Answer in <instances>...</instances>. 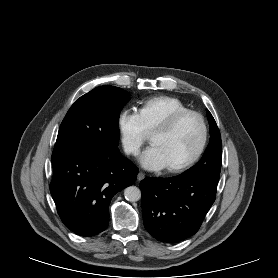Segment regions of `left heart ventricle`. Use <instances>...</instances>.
I'll return each instance as SVG.
<instances>
[{"instance_id": "obj_1", "label": "left heart ventricle", "mask_w": 278, "mask_h": 278, "mask_svg": "<svg viewBox=\"0 0 278 278\" xmlns=\"http://www.w3.org/2000/svg\"><path fill=\"white\" fill-rule=\"evenodd\" d=\"M200 139L201 126L194 117L183 119L170 132L151 135V143L160 149L167 166L188 159L196 151Z\"/></svg>"}]
</instances>
